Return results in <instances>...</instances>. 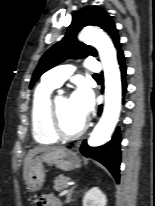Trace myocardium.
Masks as SVG:
<instances>
[{
    "label": "myocardium",
    "mask_w": 155,
    "mask_h": 206,
    "mask_svg": "<svg viewBox=\"0 0 155 206\" xmlns=\"http://www.w3.org/2000/svg\"><path fill=\"white\" fill-rule=\"evenodd\" d=\"M49 123L50 127L53 131V133L60 138L65 139H73L76 137L81 136L88 127V123L86 120L83 121L82 125L75 131L68 132L64 130L60 123V118L58 114L57 104H56V98L51 100L50 106H49Z\"/></svg>",
    "instance_id": "myocardium-1"
}]
</instances>
